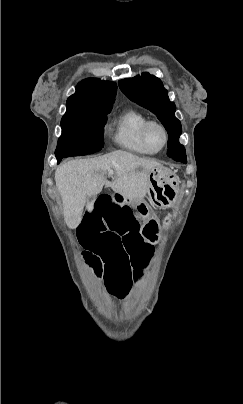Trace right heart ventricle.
<instances>
[{
  "mask_svg": "<svg viewBox=\"0 0 243 404\" xmlns=\"http://www.w3.org/2000/svg\"><path fill=\"white\" fill-rule=\"evenodd\" d=\"M146 115L135 107L119 113L112 120V139L122 151L142 156L156 155L159 151L147 146L140 137V128Z\"/></svg>",
  "mask_w": 243,
  "mask_h": 404,
  "instance_id": "e07e8e85",
  "label": "right heart ventricle"
}]
</instances>
